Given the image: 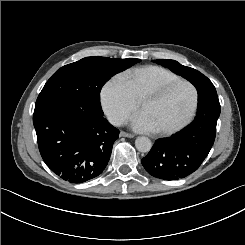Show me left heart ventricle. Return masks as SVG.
<instances>
[{
    "mask_svg": "<svg viewBox=\"0 0 245 245\" xmlns=\"http://www.w3.org/2000/svg\"><path fill=\"white\" fill-rule=\"evenodd\" d=\"M192 102V94L186 85H180L164 96L153 93L138 105L156 129L173 127L185 118Z\"/></svg>",
    "mask_w": 245,
    "mask_h": 245,
    "instance_id": "obj_1",
    "label": "left heart ventricle"
}]
</instances>
